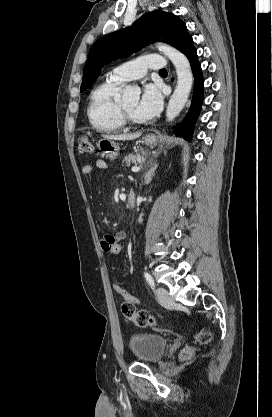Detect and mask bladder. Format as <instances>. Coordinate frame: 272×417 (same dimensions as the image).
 <instances>
[{"instance_id": "1", "label": "bladder", "mask_w": 272, "mask_h": 417, "mask_svg": "<svg viewBox=\"0 0 272 417\" xmlns=\"http://www.w3.org/2000/svg\"><path fill=\"white\" fill-rule=\"evenodd\" d=\"M167 347V340L163 336L138 333L129 339V349L133 356L141 362H155L159 360Z\"/></svg>"}]
</instances>
